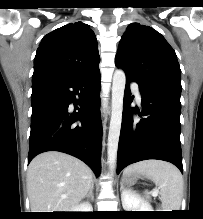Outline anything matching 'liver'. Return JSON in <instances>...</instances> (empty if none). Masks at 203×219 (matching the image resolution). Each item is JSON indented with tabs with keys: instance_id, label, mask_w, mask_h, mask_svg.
<instances>
[{
	"instance_id": "obj_1",
	"label": "liver",
	"mask_w": 203,
	"mask_h": 219,
	"mask_svg": "<svg viewBox=\"0 0 203 219\" xmlns=\"http://www.w3.org/2000/svg\"><path fill=\"white\" fill-rule=\"evenodd\" d=\"M92 170L62 152L37 155L29 164L27 191L32 212H70L87 195Z\"/></svg>"
}]
</instances>
